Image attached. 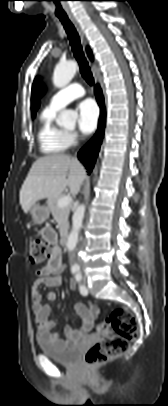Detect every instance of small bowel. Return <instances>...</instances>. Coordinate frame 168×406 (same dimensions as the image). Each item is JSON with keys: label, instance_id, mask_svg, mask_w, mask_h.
<instances>
[{"label": "small bowel", "instance_id": "obj_1", "mask_svg": "<svg viewBox=\"0 0 168 406\" xmlns=\"http://www.w3.org/2000/svg\"><path fill=\"white\" fill-rule=\"evenodd\" d=\"M43 239L53 246L51 256L47 264L35 272L36 279L33 282L31 289L32 309L34 321L37 326V335L58 347L71 346L79 339L86 336L94 327V320L99 315L100 309L92 304L78 303L75 305L77 313L83 319V325L76 330L70 326L64 328L65 339L54 332L55 322L49 319V316L55 310L52 304L43 303V295L39 292L41 285L55 286L59 283V275L64 270L62 254L57 246V234L50 227H44L41 231ZM70 287L75 289V282L70 283ZM47 298L50 301H55L57 296L54 292H49ZM97 334H100L96 329Z\"/></svg>", "mask_w": 168, "mask_h": 406}]
</instances>
